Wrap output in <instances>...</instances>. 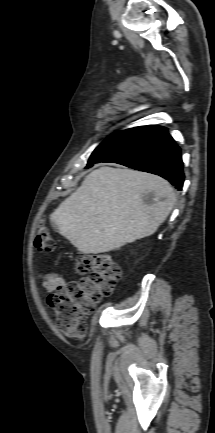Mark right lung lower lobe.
Masks as SVG:
<instances>
[{"mask_svg":"<svg viewBox=\"0 0 215 433\" xmlns=\"http://www.w3.org/2000/svg\"><path fill=\"white\" fill-rule=\"evenodd\" d=\"M102 162L118 163L159 175L182 190L181 150L164 127L145 126L128 145Z\"/></svg>","mask_w":215,"mask_h":433,"instance_id":"right-lung-lower-lobe-1","label":"right lung lower lobe"}]
</instances>
